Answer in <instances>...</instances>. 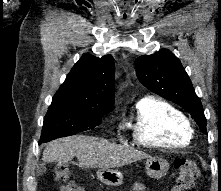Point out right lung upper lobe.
<instances>
[{
	"label": "right lung upper lobe",
	"mask_w": 221,
	"mask_h": 191,
	"mask_svg": "<svg viewBox=\"0 0 221 191\" xmlns=\"http://www.w3.org/2000/svg\"><path fill=\"white\" fill-rule=\"evenodd\" d=\"M115 66L111 55L83 54L52 99L51 106H79L112 111Z\"/></svg>",
	"instance_id": "1"
}]
</instances>
